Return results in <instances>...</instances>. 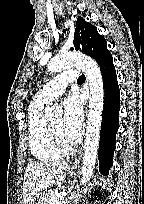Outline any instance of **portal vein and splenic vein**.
<instances>
[{
	"label": "portal vein and splenic vein",
	"mask_w": 144,
	"mask_h": 204,
	"mask_svg": "<svg viewBox=\"0 0 144 204\" xmlns=\"http://www.w3.org/2000/svg\"><path fill=\"white\" fill-rule=\"evenodd\" d=\"M66 195L65 191L57 193V195L53 199H62Z\"/></svg>",
	"instance_id": "1"
}]
</instances>
